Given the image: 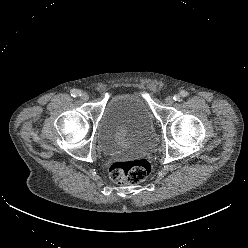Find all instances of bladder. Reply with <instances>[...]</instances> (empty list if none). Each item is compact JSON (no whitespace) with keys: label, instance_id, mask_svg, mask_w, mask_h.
Segmentation results:
<instances>
[{"label":"bladder","instance_id":"1","mask_svg":"<svg viewBox=\"0 0 248 248\" xmlns=\"http://www.w3.org/2000/svg\"><path fill=\"white\" fill-rule=\"evenodd\" d=\"M107 154L149 153L156 145L152 114L137 94H114L106 101L96 132Z\"/></svg>","mask_w":248,"mask_h":248}]
</instances>
